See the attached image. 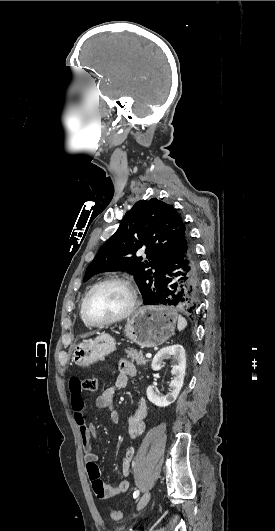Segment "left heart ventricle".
I'll return each mask as SVG.
<instances>
[{"instance_id": "obj_1", "label": "left heart ventricle", "mask_w": 275, "mask_h": 531, "mask_svg": "<svg viewBox=\"0 0 275 531\" xmlns=\"http://www.w3.org/2000/svg\"><path fill=\"white\" fill-rule=\"evenodd\" d=\"M130 304L128 290L116 283L95 290L85 303V315L91 321H104L124 313Z\"/></svg>"}]
</instances>
